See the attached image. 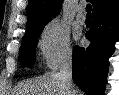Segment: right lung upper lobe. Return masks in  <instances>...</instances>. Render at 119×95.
<instances>
[{
	"mask_svg": "<svg viewBox=\"0 0 119 95\" xmlns=\"http://www.w3.org/2000/svg\"><path fill=\"white\" fill-rule=\"evenodd\" d=\"M93 17L119 4V0H89ZM62 0H30L27 6L26 32L46 25L60 12Z\"/></svg>",
	"mask_w": 119,
	"mask_h": 95,
	"instance_id": "1",
	"label": "right lung upper lobe"
}]
</instances>
